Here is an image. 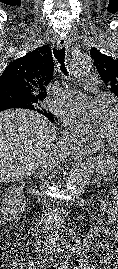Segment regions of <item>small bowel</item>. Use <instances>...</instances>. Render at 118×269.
Segmentation results:
<instances>
[{
  "mask_svg": "<svg viewBox=\"0 0 118 269\" xmlns=\"http://www.w3.org/2000/svg\"><path fill=\"white\" fill-rule=\"evenodd\" d=\"M113 198H114V204H115V210H116V216H115L116 219L115 220L118 222V192H116L114 194V197ZM109 235H110L111 239L114 242H117L118 243V230L112 231L111 233H109ZM101 246L103 248H106V249L109 248L108 244L107 243H104V242L101 244Z\"/></svg>",
  "mask_w": 118,
  "mask_h": 269,
  "instance_id": "1",
  "label": "small bowel"
}]
</instances>
